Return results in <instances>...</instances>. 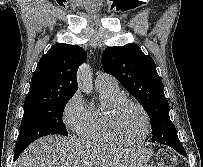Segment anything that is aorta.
I'll return each instance as SVG.
<instances>
[{"mask_svg": "<svg viewBox=\"0 0 203 167\" xmlns=\"http://www.w3.org/2000/svg\"><path fill=\"white\" fill-rule=\"evenodd\" d=\"M78 85L81 90L84 92H91L92 90V81L91 74L88 65H82L78 71Z\"/></svg>", "mask_w": 203, "mask_h": 167, "instance_id": "762f6f07", "label": "aorta"}]
</instances>
